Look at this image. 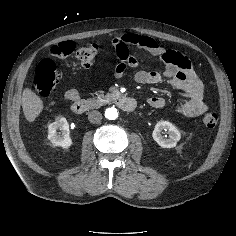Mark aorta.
<instances>
[{"mask_svg": "<svg viewBox=\"0 0 236 236\" xmlns=\"http://www.w3.org/2000/svg\"><path fill=\"white\" fill-rule=\"evenodd\" d=\"M105 117L109 120H115L118 117L117 109L114 107L106 109Z\"/></svg>", "mask_w": 236, "mask_h": 236, "instance_id": "aorta-1", "label": "aorta"}]
</instances>
